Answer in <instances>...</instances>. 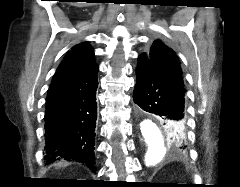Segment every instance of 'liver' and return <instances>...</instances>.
<instances>
[{
    "mask_svg": "<svg viewBox=\"0 0 240 187\" xmlns=\"http://www.w3.org/2000/svg\"><path fill=\"white\" fill-rule=\"evenodd\" d=\"M61 164H62V162L58 163L57 165H59V166H60Z\"/></svg>",
    "mask_w": 240,
    "mask_h": 187,
    "instance_id": "obj_1",
    "label": "liver"
}]
</instances>
